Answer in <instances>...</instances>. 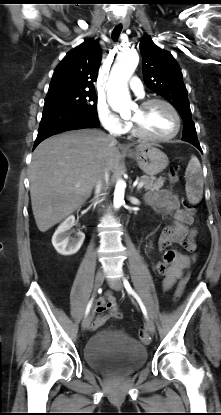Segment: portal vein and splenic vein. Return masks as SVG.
Masks as SVG:
<instances>
[{"label":"portal vein and splenic vein","instance_id":"obj_1","mask_svg":"<svg viewBox=\"0 0 221 415\" xmlns=\"http://www.w3.org/2000/svg\"><path fill=\"white\" fill-rule=\"evenodd\" d=\"M143 185H144V182L143 181H140V182H138V184H137V188L138 189H141L142 187H143ZM78 186V185H77Z\"/></svg>","mask_w":221,"mask_h":415}]
</instances>
